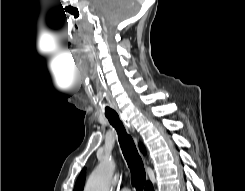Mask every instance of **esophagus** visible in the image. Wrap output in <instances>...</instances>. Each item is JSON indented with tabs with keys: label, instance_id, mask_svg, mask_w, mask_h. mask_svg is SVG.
Masks as SVG:
<instances>
[{
	"label": "esophagus",
	"instance_id": "34e87169",
	"mask_svg": "<svg viewBox=\"0 0 245 191\" xmlns=\"http://www.w3.org/2000/svg\"><path fill=\"white\" fill-rule=\"evenodd\" d=\"M120 118H121V120L123 121L124 125H125L128 129L132 130L131 125L124 119V117H123L121 114H120Z\"/></svg>",
	"mask_w": 245,
	"mask_h": 191
}]
</instances>
